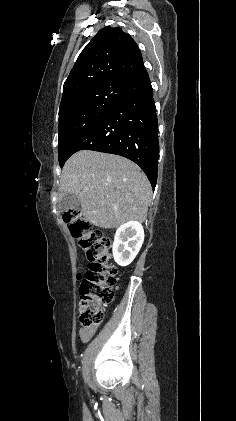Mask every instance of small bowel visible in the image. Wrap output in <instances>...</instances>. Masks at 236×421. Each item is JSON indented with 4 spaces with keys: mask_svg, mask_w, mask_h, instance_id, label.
Instances as JSON below:
<instances>
[{
    "mask_svg": "<svg viewBox=\"0 0 236 421\" xmlns=\"http://www.w3.org/2000/svg\"><path fill=\"white\" fill-rule=\"evenodd\" d=\"M94 331H95V330H92V331H87V332L80 331V337H81V339H82L83 341H88V340L92 337V335H93Z\"/></svg>",
    "mask_w": 236,
    "mask_h": 421,
    "instance_id": "c3829d8e",
    "label": "small bowel"
}]
</instances>
